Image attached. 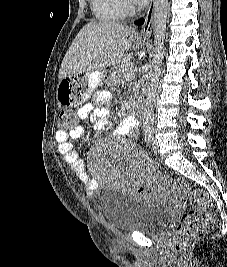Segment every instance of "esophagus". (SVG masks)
Returning a JSON list of instances; mask_svg holds the SVG:
<instances>
[{
  "instance_id": "esophagus-1",
  "label": "esophagus",
  "mask_w": 227,
  "mask_h": 267,
  "mask_svg": "<svg viewBox=\"0 0 227 267\" xmlns=\"http://www.w3.org/2000/svg\"><path fill=\"white\" fill-rule=\"evenodd\" d=\"M155 0H151L150 5L145 14V21L142 28V35L149 37L153 28V13H154Z\"/></svg>"
}]
</instances>
